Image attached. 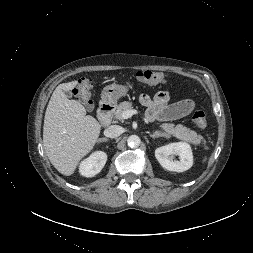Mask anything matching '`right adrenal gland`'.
Wrapping results in <instances>:
<instances>
[{
	"mask_svg": "<svg viewBox=\"0 0 253 253\" xmlns=\"http://www.w3.org/2000/svg\"><path fill=\"white\" fill-rule=\"evenodd\" d=\"M109 141V139H107V138H100V139H98V143H100V142H108Z\"/></svg>",
	"mask_w": 253,
	"mask_h": 253,
	"instance_id": "obj_1",
	"label": "right adrenal gland"
}]
</instances>
